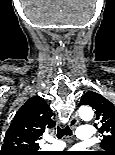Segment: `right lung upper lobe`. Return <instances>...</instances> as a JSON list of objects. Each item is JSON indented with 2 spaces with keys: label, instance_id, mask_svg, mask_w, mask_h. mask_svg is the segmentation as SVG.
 I'll return each mask as SVG.
<instances>
[{
  "label": "right lung upper lobe",
  "instance_id": "cb5924a9",
  "mask_svg": "<svg viewBox=\"0 0 115 155\" xmlns=\"http://www.w3.org/2000/svg\"><path fill=\"white\" fill-rule=\"evenodd\" d=\"M54 126L53 113L44 99L40 96L28 99L15 114L0 155H42L38 141Z\"/></svg>",
  "mask_w": 115,
  "mask_h": 155
}]
</instances>
